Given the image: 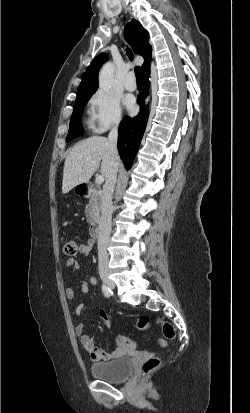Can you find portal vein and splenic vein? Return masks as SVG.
Listing matches in <instances>:
<instances>
[{
  "mask_svg": "<svg viewBox=\"0 0 250 413\" xmlns=\"http://www.w3.org/2000/svg\"><path fill=\"white\" fill-rule=\"evenodd\" d=\"M104 182V176H97L96 177V183L97 184H102Z\"/></svg>",
  "mask_w": 250,
  "mask_h": 413,
  "instance_id": "18ae733b",
  "label": "portal vein and splenic vein"
}]
</instances>
